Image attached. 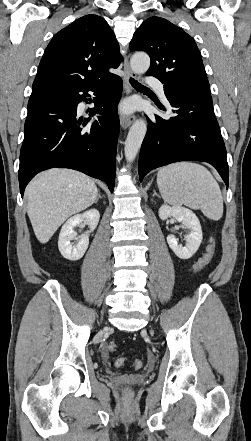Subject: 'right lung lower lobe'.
<instances>
[{
  "label": "right lung lower lobe",
  "instance_id": "1",
  "mask_svg": "<svg viewBox=\"0 0 251 441\" xmlns=\"http://www.w3.org/2000/svg\"><path fill=\"white\" fill-rule=\"evenodd\" d=\"M94 92L97 99L89 115L76 117L77 105ZM122 80L112 74L100 83L58 92L31 94L20 152L19 185L23 196L28 182L40 171L64 167L81 171L108 184H115L116 145L119 134L117 104Z\"/></svg>",
  "mask_w": 251,
  "mask_h": 441
}]
</instances>
